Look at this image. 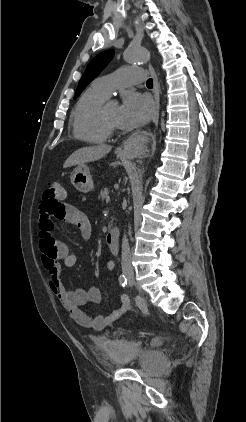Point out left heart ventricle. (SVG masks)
Instances as JSON below:
<instances>
[{"label": "left heart ventricle", "instance_id": "1", "mask_svg": "<svg viewBox=\"0 0 246 422\" xmlns=\"http://www.w3.org/2000/svg\"><path fill=\"white\" fill-rule=\"evenodd\" d=\"M119 110L120 108L116 104H109L106 106V109H105V114H106L107 119L115 125H118Z\"/></svg>", "mask_w": 246, "mask_h": 422}]
</instances>
